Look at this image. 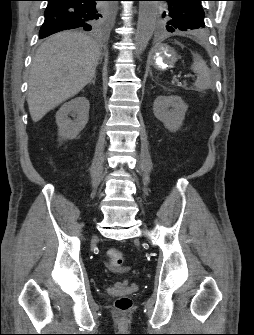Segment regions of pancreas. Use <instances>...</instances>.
<instances>
[{"instance_id": "obj_1", "label": "pancreas", "mask_w": 254, "mask_h": 335, "mask_svg": "<svg viewBox=\"0 0 254 335\" xmlns=\"http://www.w3.org/2000/svg\"><path fill=\"white\" fill-rule=\"evenodd\" d=\"M182 87H184L185 89H188V88L186 87V84H184Z\"/></svg>"}]
</instances>
